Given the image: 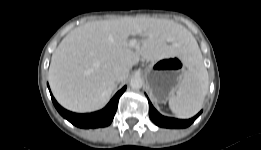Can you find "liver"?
I'll use <instances>...</instances> for the list:
<instances>
[{
    "instance_id": "liver-1",
    "label": "liver",
    "mask_w": 261,
    "mask_h": 150,
    "mask_svg": "<svg viewBox=\"0 0 261 150\" xmlns=\"http://www.w3.org/2000/svg\"><path fill=\"white\" fill-rule=\"evenodd\" d=\"M142 45L132 47L129 36ZM192 34L172 20L123 17L88 22L69 32L55 49L49 83L56 100L66 109L86 113L106 105L115 87V66L131 69L142 57L155 62L174 55L188 61Z\"/></svg>"
}]
</instances>
